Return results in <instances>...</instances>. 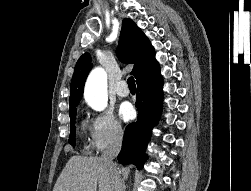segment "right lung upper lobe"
I'll use <instances>...</instances> for the list:
<instances>
[{"instance_id": "right-lung-upper-lobe-1", "label": "right lung upper lobe", "mask_w": 251, "mask_h": 191, "mask_svg": "<svg viewBox=\"0 0 251 191\" xmlns=\"http://www.w3.org/2000/svg\"><path fill=\"white\" fill-rule=\"evenodd\" d=\"M117 55L121 61L134 64L131 74L135 76L137 85L160 75L152 44L131 19L123 21ZM90 61L89 54L85 53L76 63L71 81L70 107L78 105L83 96L84 84L92 66Z\"/></svg>"}]
</instances>
